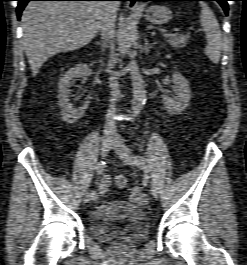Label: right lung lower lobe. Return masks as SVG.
Masks as SVG:
<instances>
[{"label": "right lung lower lobe", "instance_id": "obj_1", "mask_svg": "<svg viewBox=\"0 0 247 265\" xmlns=\"http://www.w3.org/2000/svg\"><path fill=\"white\" fill-rule=\"evenodd\" d=\"M17 17L20 19L21 12L29 1H102V0H17ZM115 1H125V0H115Z\"/></svg>", "mask_w": 247, "mask_h": 265}]
</instances>
